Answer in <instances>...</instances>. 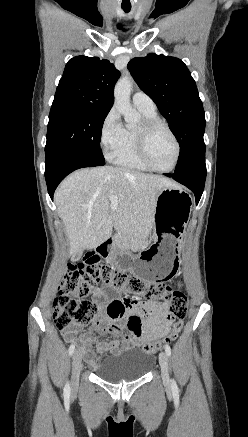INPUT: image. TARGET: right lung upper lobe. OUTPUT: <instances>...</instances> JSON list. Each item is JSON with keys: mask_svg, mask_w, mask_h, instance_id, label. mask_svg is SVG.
Instances as JSON below:
<instances>
[{"mask_svg": "<svg viewBox=\"0 0 248 437\" xmlns=\"http://www.w3.org/2000/svg\"><path fill=\"white\" fill-rule=\"evenodd\" d=\"M120 73L108 60L77 56L66 64L52 105L64 104L108 113Z\"/></svg>", "mask_w": 248, "mask_h": 437, "instance_id": "1", "label": "right lung upper lobe"}]
</instances>
